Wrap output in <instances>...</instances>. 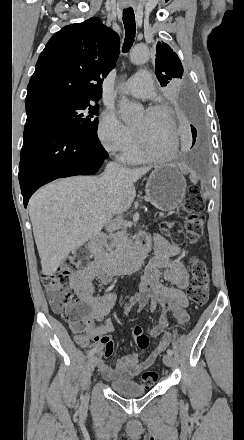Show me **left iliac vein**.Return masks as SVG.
I'll return each mask as SVG.
<instances>
[{
	"label": "left iliac vein",
	"mask_w": 244,
	"mask_h": 440,
	"mask_svg": "<svg viewBox=\"0 0 244 440\" xmlns=\"http://www.w3.org/2000/svg\"><path fill=\"white\" fill-rule=\"evenodd\" d=\"M173 357L169 354H165L163 356V362L166 364V366L171 367L173 365Z\"/></svg>",
	"instance_id": "4c4485c4"
}]
</instances>
